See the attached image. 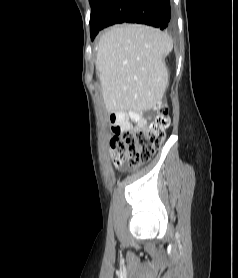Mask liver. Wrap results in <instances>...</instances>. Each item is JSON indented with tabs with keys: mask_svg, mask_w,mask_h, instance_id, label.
<instances>
[{
	"mask_svg": "<svg viewBox=\"0 0 238 278\" xmlns=\"http://www.w3.org/2000/svg\"><path fill=\"white\" fill-rule=\"evenodd\" d=\"M172 49L169 35L146 25L123 24L106 31L96 60L106 110L155 108L168 83L164 59Z\"/></svg>",
	"mask_w": 238,
	"mask_h": 278,
	"instance_id": "obj_1",
	"label": "liver"
}]
</instances>
